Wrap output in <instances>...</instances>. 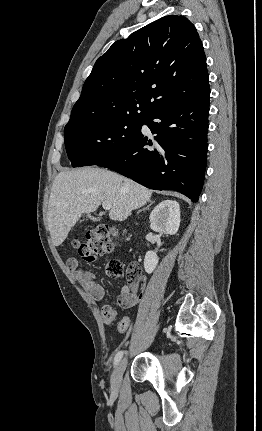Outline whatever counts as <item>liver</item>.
<instances>
[{
	"label": "liver",
	"mask_w": 262,
	"mask_h": 431,
	"mask_svg": "<svg viewBox=\"0 0 262 431\" xmlns=\"http://www.w3.org/2000/svg\"><path fill=\"white\" fill-rule=\"evenodd\" d=\"M152 192L133 180L98 167L60 172L50 193L47 223L52 242L61 245L83 213L95 211L101 202L111 203L109 217L123 221L132 210L150 201Z\"/></svg>",
	"instance_id": "6515ba94"
}]
</instances>
